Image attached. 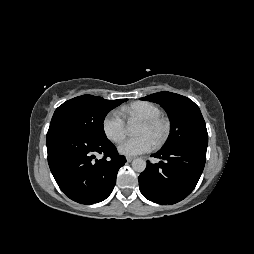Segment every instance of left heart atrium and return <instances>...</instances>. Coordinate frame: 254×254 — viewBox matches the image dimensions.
I'll use <instances>...</instances> for the list:
<instances>
[{
    "mask_svg": "<svg viewBox=\"0 0 254 254\" xmlns=\"http://www.w3.org/2000/svg\"><path fill=\"white\" fill-rule=\"evenodd\" d=\"M155 146V141L148 135L128 138L119 146V152L127 156H135L149 152Z\"/></svg>",
    "mask_w": 254,
    "mask_h": 254,
    "instance_id": "39dd6f15",
    "label": "left heart atrium"
}]
</instances>
